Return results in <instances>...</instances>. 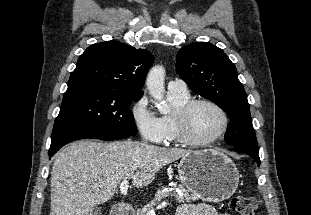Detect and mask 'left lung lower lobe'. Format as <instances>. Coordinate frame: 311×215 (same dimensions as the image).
Wrapping results in <instances>:
<instances>
[{"label": "left lung lower lobe", "instance_id": "obj_1", "mask_svg": "<svg viewBox=\"0 0 311 215\" xmlns=\"http://www.w3.org/2000/svg\"><path fill=\"white\" fill-rule=\"evenodd\" d=\"M230 150H232V151H240V152H243L245 154H248V155H250L251 157H253L256 160L258 165H260V159H259V155H258L259 152L252 151V150L245 149V148H232Z\"/></svg>", "mask_w": 311, "mask_h": 215}]
</instances>
